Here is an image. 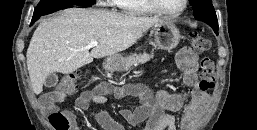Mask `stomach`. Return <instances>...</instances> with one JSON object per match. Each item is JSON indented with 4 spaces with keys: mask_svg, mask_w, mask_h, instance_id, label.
I'll return each mask as SVG.
<instances>
[{
    "mask_svg": "<svg viewBox=\"0 0 257 130\" xmlns=\"http://www.w3.org/2000/svg\"><path fill=\"white\" fill-rule=\"evenodd\" d=\"M153 45L162 50H172L180 42L181 34L179 29L171 21H163L151 29ZM124 57L121 54L107 56L103 66L109 72H117L123 69Z\"/></svg>",
    "mask_w": 257,
    "mask_h": 130,
    "instance_id": "obj_1",
    "label": "stomach"
}]
</instances>
